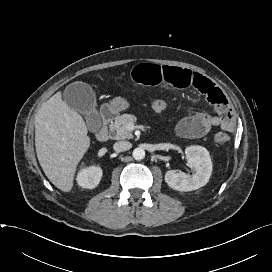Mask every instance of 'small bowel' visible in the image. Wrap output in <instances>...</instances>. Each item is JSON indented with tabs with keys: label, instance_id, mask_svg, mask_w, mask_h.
<instances>
[{
	"label": "small bowel",
	"instance_id": "obj_1",
	"mask_svg": "<svg viewBox=\"0 0 272 272\" xmlns=\"http://www.w3.org/2000/svg\"><path fill=\"white\" fill-rule=\"evenodd\" d=\"M132 79L138 84L147 86L169 84L177 88H192L205 95L214 105L218 115L197 113L178 120L174 128L179 136L200 138L215 127H221L229 132L233 131V115L225 94L204 76L178 67L140 64L133 69Z\"/></svg>",
	"mask_w": 272,
	"mask_h": 272
}]
</instances>
